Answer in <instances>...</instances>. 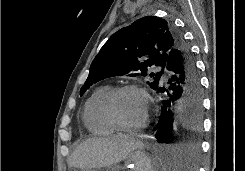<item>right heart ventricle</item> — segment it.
Segmentation results:
<instances>
[{
    "instance_id": "1",
    "label": "right heart ventricle",
    "mask_w": 245,
    "mask_h": 171,
    "mask_svg": "<svg viewBox=\"0 0 245 171\" xmlns=\"http://www.w3.org/2000/svg\"><path fill=\"white\" fill-rule=\"evenodd\" d=\"M112 88L109 85L97 87L87 99L83 110V122L89 132L97 135H108L116 132L117 128L108 119L104 103Z\"/></svg>"
}]
</instances>
